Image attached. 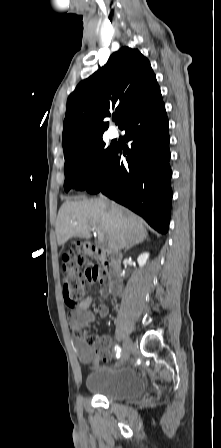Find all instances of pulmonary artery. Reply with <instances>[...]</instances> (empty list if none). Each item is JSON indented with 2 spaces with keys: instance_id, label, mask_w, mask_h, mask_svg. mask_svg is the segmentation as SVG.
Masks as SVG:
<instances>
[{
  "instance_id": "1",
  "label": "pulmonary artery",
  "mask_w": 221,
  "mask_h": 448,
  "mask_svg": "<svg viewBox=\"0 0 221 448\" xmlns=\"http://www.w3.org/2000/svg\"><path fill=\"white\" fill-rule=\"evenodd\" d=\"M108 135L111 139H114L117 136V131L114 128H110L108 131Z\"/></svg>"
}]
</instances>
